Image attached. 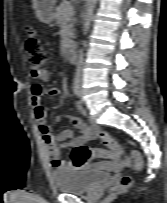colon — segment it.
Segmentation results:
<instances>
[{"instance_id": "5ec220e1", "label": "colon", "mask_w": 167, "mask_h": 203, "mask_svg": "<svg viewBox=\"0 0 167 203\" xmlns=\"http://www.w3.org/2000/svg\"><path fill=\"white\" fill-rule=\"evenodd\" d=\"M25 48L31 72L39 73L44 70L48 60L47 53L45 48L39 43L36 33L32 27H27ZM94 155H109L125 167L132 166L135 169H140L142 167V157L136 151H132L129 155H125L121 149L105 151L102 149H91L84 145H78L72 149L70 157L73 166L75 168H81L84 163ZM131 184V176L123 175L120 177L116 185L112 187V190H123L130 187Z\"/></svg>"}]
</instances>
